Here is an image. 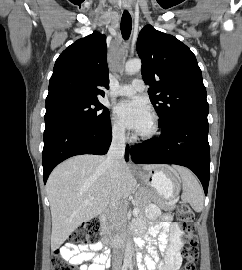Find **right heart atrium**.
Returning <instances> with one entry per match:
<instances>
[{
	"instance_id": "right-heart-atrium-1",
	"label": "right heart atrium",
	"mask_w": 242,
	"mask_h": 270,
	"mask_svg": "<svg viewBox=\"0 0 242 270\" xmlns=\"http://www.w3.org/2000/svg\"><path fill=\"white\" fill-rule=\"evenodd\" d=\"M111 133L112 136L117 140H122L125 137V128L124 126L114 117L111 118Z\"/></svg>"
}]
</instances>
